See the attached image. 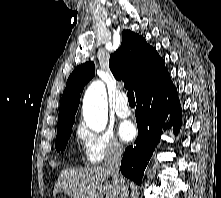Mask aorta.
Masks as SVG:
<instances>
[{
	"instance_id": "obj_1",
	"label": "aorta",
	"mask_w": 221,
	"mask_h": 198,
	"mask_svg": "<svg viewBox=\"0 0 221 198\" xmlns=\"http://www.w3.org/2000/svg\"><path fill=\"white\" fill-rule=\"evenodd\" d=\"M108 105L103 82L94 81L87 88L83 99V117L86 125L95 132H102L107 124Z\"/></svg>"
}]
</instances>
